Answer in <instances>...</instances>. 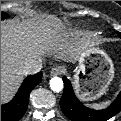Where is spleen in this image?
<instances>
[{
    "mask_svg": "<svg viewBox=\"0 0 121 121\" xmlns=\"http://www.w3.org/2000/svg\"><path fill=\"white\" fill-rule=\"evenodd\" d=\"M106 103H102V104H94L95 107H100V106H103L105 105Z\"/></svg>",
    "mask_w": 121,
    "mask_h": 121,
    "instance_id": "obj_1",
    "label": "spleen"
}]
</instances>
